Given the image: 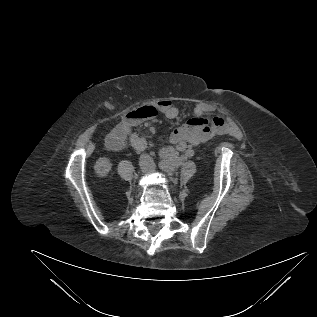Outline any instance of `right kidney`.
Wrapping results in <instances>:
<instances>
[{
    "label": "right kidney",
    "instance_id": "obj_1",
    "mask_svg": "<svg viewBox=\"0 0 317 317\" xmlns=\"http://www.w3.org/2000/svg\"><path fill=\"white\" fill-rule=\"evenodd\" d=\"M111 168H112L111 161L105 157L99 158L94 165V170L97 173V175L100 177L107 176Z\"/></svg>",
    "mask_w": 317,
    "mask_h": 317
}]
</instances>
